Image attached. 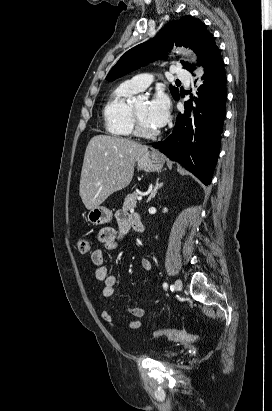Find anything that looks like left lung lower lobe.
<instances>
[{
    "instance_id": "1",
    "label": "left lung lower lobe",
    "mask_w": 272,
    "mask_h": 411,
    "mask_svg": "<svg viewBox=\"0 0 272 411\" xmlns=\"http://www.w3.org/2000/svg\"><path fill=\"white\" fill-rule=\"evenodd\" d=\"M204 71V84L194 104L186 102L172 134L152 145L208 185L217 163L226 113V73L218 48L205 63Z\"/></svg>"
}]
</instances>
